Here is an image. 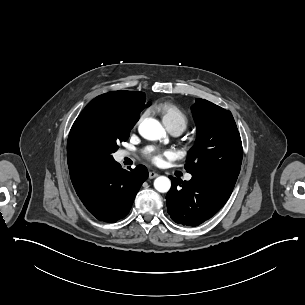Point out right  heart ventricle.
<instances>
[{
	"label": "right heart ventricle",
	"instance_id": "1",
	"mask_svg": "<svg viewBox=\"0 0 305 305\" xmlns=\"http://www.w3.org/2000/svg\"><path fill=\"white\" fill-rule=\"evenodd\" d=\"M155 109L161 115L162 121L166 127L181 126L184 130L188 127V117L176 105L168 102H162L156 104Z\"/></svg>",
	"mask_w": 305,
	"mask_h": 305
}]
</instances>
